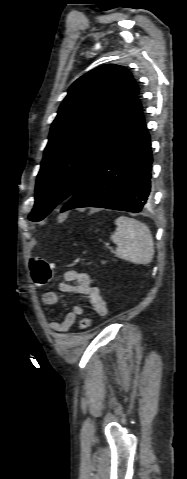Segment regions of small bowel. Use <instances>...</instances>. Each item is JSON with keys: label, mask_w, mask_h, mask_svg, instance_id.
Returning <instances> with one entry per match:
<instances>
[{"label": "small bowel", "mask_w": 187, "mask_h": 479, "mask_svg": "<svg viewBox=\"0 0 187 479\" xmlns=\"http://www.w3.org/2000/svg\"><path fill=\"white\" fill-rule=\"evenodd\" d=\"M59 291L82 296L100 316H106L108 313L105 300L101 296L99 289L92 285L91 278L87 273L77 270L66 271L64 281L59 284ZM41 302L44 305H55L65 303V300L57 292L47 291L43 293ZM83 312V308L80 305H74L63 321H50L48 322V327L57 333L69 332L76 318L82 315Z\"/></svg>", "instance_id": "small-bowel-1"}]
</instances>
